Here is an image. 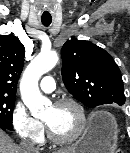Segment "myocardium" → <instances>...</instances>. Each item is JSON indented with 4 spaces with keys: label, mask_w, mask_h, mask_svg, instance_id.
Returning a JSON list of instances; mask_svg holds the SVG:
<instances>
[{
    "label": "myocardium",
    "mask_w": 130,
    "mask_h": 153,
    "mask_svg": "<svg viewBox=\"0 0 130 153\" xmlns=\"http://www.w3.org/2000/svg\"><path fill=\"white\" fill-rule=\"evenodd\" d=\"M54 106H63V105H70L72 106L78 113L79 116V125L76 129L75 133L69 137H60L58 136L50 127V125L44 121V125L48 134V137L57 144L65 145L71 144L77 141L85 132L87 127V115L85 112L84 107L75 99L73 98H61L54 102Z\"/></svg>",
    "instance_id": "1"
}]
</instances>
